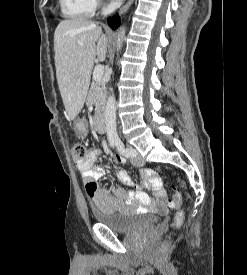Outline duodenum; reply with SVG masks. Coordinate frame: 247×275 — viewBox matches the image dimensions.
<instances>
[{
  "label": "duodenum",
  "instance_id": "obj_1",
  "mask_svg": "<svg viewBox=\"0 0 247 275\" xmlns=\"http://www.w3.org/2000/svg\"><path fill=\"white\" fill-rule=\"evenodd\" d=\"M94 126L98 133H104L106 131V120L103 113L96 115L94 119Z\"/></svg>",
  "mask_w": 247,
  "mask_h": 275
}]
</instances>
